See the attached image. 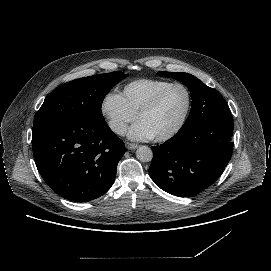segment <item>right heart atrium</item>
<instances>
[{"label": "right heart atrium", "mask_w": 271, "mask_h": 271, "mask_svg": "<svg viewBox=\"0 0 271 271\" xmlns=\"http://www.w3.org/2000/svg\"><path fill=\"white\" fill-rule=\"evenodd\" d=\"M100 113L109 129L117 135H124L135 116L124 105L120 94L107 91L100 102Z\"/></svg>", "instance_id": "right-heart-atrium-1"}]
</instances>
